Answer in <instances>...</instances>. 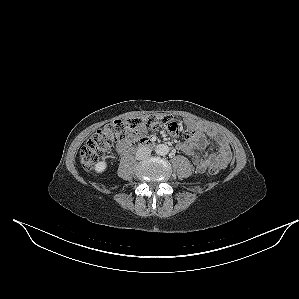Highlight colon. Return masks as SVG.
<instances>
[{
    "mask_svg": "<svg viewBox=\"0 0 299 299\" xmlns=\"http://www.w3.org/2000/svg\"><path fill=\"white\" fill-rule=\"evenodd\" d=\"M161 127H166L173 134H178L180 131V124L176 119L171 115L159 113L117 120L107 124L81 148L80 162L85 169H91L114 143L126 140L130 136L148 129ZM184 138L188 142L195 141L197 138L195 128L189 125L184 133ZM219 171L220 167L217 165H212L207 170L211 175H215Z\"/></svg>",
    "mask_w": 299,
    "mask_h": 299,
    "instance_id": "5ec220e1",
    "label": "colon"
}]
</instances>
